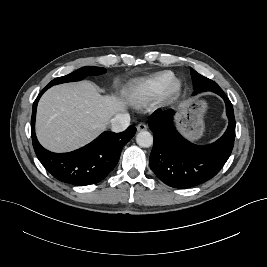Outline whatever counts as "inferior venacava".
<instances>
[{
  "mask_svg": "<svg viewBox=\"0 0 267 267\" xmlns=\"http://www.w3.org/2000/svg\"><path fill=\"white\" fill-rule=\"evenodd\" d=\"M111 130L113 132H122L130 124V115L128 113L117 114L111 119Z\"/></svg>",
  "mask_w": 267,
  "mask_h": 267,
  "instance_id": "1",
  "label": "inferior vena cava"
}]
</instances>
